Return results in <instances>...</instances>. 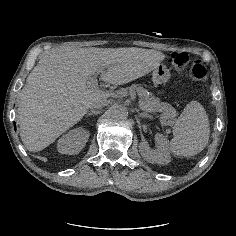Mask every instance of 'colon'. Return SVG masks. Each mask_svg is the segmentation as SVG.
<instances>
[{
	"mask_svg": "<svg viewBox=\"0 0 236 236\" xmlns=\"http://www.w3.org/2000/svg\"><path fill=\"white\" fill-rule=\"evenodd\" d=\"M189 54L183 51H173L169 55V62L173 69L179 71L181 67L189 63ZM207 75V68L201 59H195L190 69V77L193 80H203Z\"/></svg>",
	"mask_w": 236,
	"mask_h": 236,
	"instance_id": "5ec220e1",
	"label": "colon"
}]
</instances>
